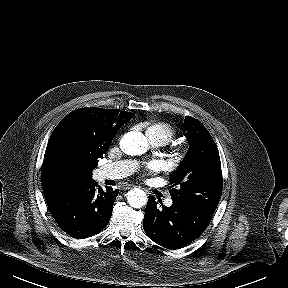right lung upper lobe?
<instances>
[{
  "label": "right lung upper lobe",
  "mask_w": 288,
  "mask_h": 288,
  "mask_svg": "<svg viewBox=\"0 0 288 288\" xmlns=\"http://www.w3.org/2000/svg\"><path fill=\"white\" fill-rule=\"evenodd\" d=\"M114 109L81 108L69 113L48 141L41 170L44 194L92 181L91 171L115 133L132 117Z\"/></svg>",
  "instance_id": "1"
}]
</instances>
